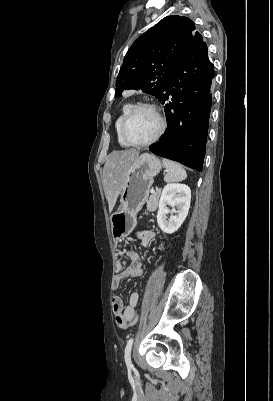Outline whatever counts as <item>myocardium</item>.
Wrapping results in <instances>:
<instances>
[{
	"instance_id": "f54148a6",
	"label": "myocardium",
	"mask_w": 273,
	"mask_h": 401,
	"mask_svg": "<svg viewBox=\"0 0 273 401\" xmlns=\"http://www.w3.org/2000/svg\"><path fill=\"white\" fill-rule=\"evenodd\" d=\"M142 109L149 110L152 113H154L159 119L160 127H159V130L156 133V135L154 137H152L151 139L146 140V141H142V142H135V141L129 140L126 137L125 128H126L127 123L129 122L130 118L137 111L142 110ZM166 129H167L166 120H165L164 116L162 115V113L160 112V110L155 105L149 104V103H139V104L133 106L130 109V111L126 114V116L123 118V120L121 122V125H120V135H121L122 140L126 144H128L129 146H132V147H145V146L151 145V144L157 142L159 139H161L162 136L165 134Z\"/></svg>"
}]
</instances>
